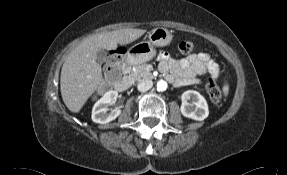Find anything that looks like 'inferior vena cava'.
I'll return each instance as SVG.
<instances>
[{
	"label": "inferior vena cava",
	"instance_id": "1",
	"mask_svg": "<svg viewBox=\"0 0 287 175\" xmlns=\"http://www.w3.org/2000/svg\"><path fill=\"white\" fill-rule=\"evenodd\" d=\"M152 86H153L152 80L146 79V80L141 81L138 84L137 88L140 92H145V91L151 89Z\"/></svg>",
	"mask_w": 287,
	"mask_h": 175
}]
</instances>
